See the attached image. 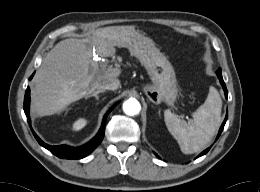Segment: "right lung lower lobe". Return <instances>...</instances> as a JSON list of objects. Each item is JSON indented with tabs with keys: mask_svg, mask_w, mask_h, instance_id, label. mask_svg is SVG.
Returning a JSON list of instances; mask_svg holds the SVG:
<instances>
[{
	"mask_svg": "<svg viewBox=\"0 0 260 192\" xmlns=\"http://www.w3.org/2000/svg\"><path fill=\"white\" fill-rule=\"evenodd\" d=\"M33 77V75L30 77V79ZM29 104H30V88L28 87L25 93V98H24V111L27 117V121L30 124V118H29ZM112 106L107 113L105 114L101 128L97 135L88 143L80 146V147H70L67 145H59V146H50L48 144H45L32 130L34 137L36 140L39 142V144L46 149H48L51 153L56 155L59 158L63 159H81L89 155L102 141L104 137V132H105V122L108 114L113 110V108L116 106Z\"/></svg>",
	"mask_w": 260,
	"mask_h": 192,
	"instance_id": "obj_1",
	"label": "right lung lower lobe"
}]
</instances>
